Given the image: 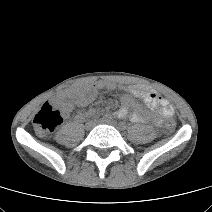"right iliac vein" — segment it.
Listing matches in <instances>:
<instances>
[{"label":"right iliac vein","mask_w":212,"mask_h":212,"mask_svg":"<svg viewBox=\"0 0 212 212\" xmlns=\"http://www.w3.org/2000/svg\"><path fill=\"white\" fill-rule=\"evenodd\" d=\"M95 126V122L92 120L87 121L85 124V129L86 130H91Z\"/></svg>","instance_id":"1"}]
</instances>
